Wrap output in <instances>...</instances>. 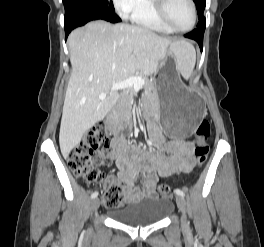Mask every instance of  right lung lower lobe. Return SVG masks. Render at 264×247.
Wrapping results in <instances>:
<instances>
[{
	"mask_svg": "<svg viewBox=\"0 0 264 247\" xmlns=\"http://www.w3.org/2000/svg\"><path fill=\"white\" fill-rule=\"evenodd\" d=\"M102 19L112 23L121 19L115 13H106L86 7L70 6L65 9L64 28L66 39L69 33L76 27L82 26L89 21Z\"/></svg>",
	"mask_w": 264,
	"mask_h": 247,
	"instance_id": "1",
	"label": "right lung lower lobe"
}]
</instances>
